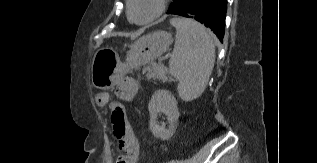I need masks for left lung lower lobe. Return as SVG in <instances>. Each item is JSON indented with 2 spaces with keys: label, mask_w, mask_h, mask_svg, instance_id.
I'll list each match as a JSON object with an SVG mask.
<instances>
[{
  "label": "left lung lower lobe",
  "mask_w": 317,
  "mask_h": 163,
  "mask_svg": "<svg viewBox=\"0 0 317 163\" xmlns=\"http://www.w3.org/2000/svg\"><path fill=\"white\" fill-rule=\"evenodd\" d=\"M227 0H180L168 14L192 18L211 28L223 42Z\"/></svg>",
  "instance_id": "1"
}]
</instances>
